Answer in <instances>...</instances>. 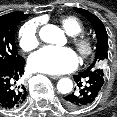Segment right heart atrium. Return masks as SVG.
Returning <instances> with one entry per match:
<instances>
[{
    "label": "right heart atrium",
    "instance_id": "1",
    "mask_svg": "<svg viewBox=\"0 0 117 117\" xmlns=\"http://www.w3.org/2000/svg\"><path fill=\"white\" fill-rule=\"evenodd\" d=\"M19 44L25 51H32L39 45V20L33 19L19 30Z\"/></svg>",
    "mask_w": 117,
    "mask_h": 117
}]
</instances>
